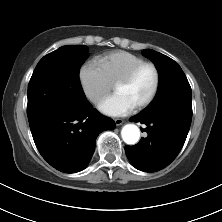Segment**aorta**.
Here are the masks:
<instances>
[{"label": "aorta", "instance_id": "1", "mask_svg": "<svg viewBox=\"0 0 222 222\" xmlns=\"http://www.w3.org/2000/svg\"><path fill=\"white\" fill-rule=\"evenodd\" d=\"M123 141L128 145H135L140 139V130L134 124H126L121 131Z\"/></svg>", "mask_w": 222, "mask_h": 222}]
</instances>
